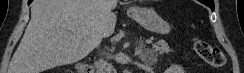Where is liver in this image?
<instances>
[{
    "mask_svg": "<svg viewBox=\"0 0 244 73\" xmlns=\"http://www.w3.org/2000/svg\"><path fill=\"white\" fill-rule=\"evenodd\" d=\"M117 0H34L8 73H42L85 58L113 34Z\"/></svg>",
    "mask_w": 244,
    "mask_h": 73,
    "instance_id": "6515ba94",
    "label": "liver"
}]
</instances>
